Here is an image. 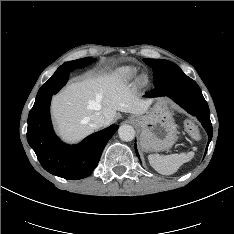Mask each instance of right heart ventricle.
<instances>
[{
  "instance_id": "e07e8e85",
  "label": "right heart ventricle",
  "mask_w": 234,
  "mask_h": 234,
  "mask_svg": "<svg viewBox=\"0 0 234 234\" xmlns=\"http://www.w3.org/2000/svg\"><path fill=\"white\" fill-rule=\"evenodd\" d=\"M120 75L124 80L128 81L135 77L136 71L134 69L128 68L123 70Z\"/></svg>"
}]
</instances>
